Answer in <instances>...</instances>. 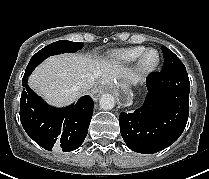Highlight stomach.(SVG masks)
<instances>
[{
	"mask_svg": "<svg viewBox=\"0 0 209 179\" xmlns=\"http://www.w3.org/2000/svg\"><path fill=\"white\" fill-rule=\"evenodd\" d=\"M118 87H120L124 92H129V86L125 83H118Z\"/></svg>",
	"mask_w": 209,
	"mask_h": 179,
	"instance_id": "obj_1",
	"label": "stomach"
}]
</instances>
